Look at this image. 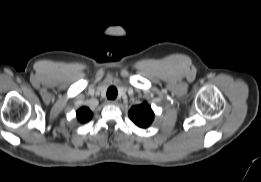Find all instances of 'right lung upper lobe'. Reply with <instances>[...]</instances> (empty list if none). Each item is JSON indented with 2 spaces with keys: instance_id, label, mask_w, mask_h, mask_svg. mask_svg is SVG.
Masks as SVG:
<instances>
[{
  "instance_id": "right-lung-upper-lobe-1",
  "label": "right lung upper lobe",
  "mask_w": 261,
  "mask_h": 182,
  "mask_svg": "<svg viewBox=\"0 0 261 182\" xmlns=\"http://www.w3.org/2000/svg\"><path fill=\"white\" fill-rule=\"evenodd\" d=\"M77 118L80 122L85 123L92 118V112L87 107H82L77 112Z\"/></svg>"
}]
</instances>
